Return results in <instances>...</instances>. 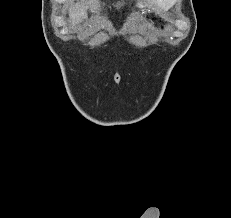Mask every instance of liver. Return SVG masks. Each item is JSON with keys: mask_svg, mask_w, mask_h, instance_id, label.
<instances>
[{"mask_svg": "<svg viewBox=\"0 0 231 218\" xmlns=\"http://www.w3.org/2000/svg\"><path fill=\"white\" fill-rule=\"evenodd\" d=\"M89 5L93 11H97L100 8L99 0H89ZM87 7L86 1L82 0L69 8V18L73 26L87 18Z\"/></svg>", "mask_w": 231, "mask_h": 218, "instance_id": "obj_1", "label": "liver"}]
</instances>
